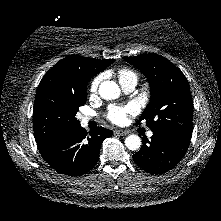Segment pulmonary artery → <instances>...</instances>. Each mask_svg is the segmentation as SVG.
<instances>
[{
	"label": "pulmonary artery",
	"mask_w": 221,
	"mask_h": 221,
	"mask_svg": "<svg viewBox=\"0 0 221 221\" xmlns=\"http://www.w3.org/2000/svg\"><path fill=\"white\" fill-rule=\"evenodd\" d=\"M120 84H121V87H122V89L125 93H130L135 89L137 81L128 80V81L122 82ZM91 119H92L91 117L85 116V117L82 118V122H83V124H87ZM147 135H148V137H152L153 132L149 131L147 133Z\"/></svg>",
	"instance_id": "pulmonary-artery-1"
}]
</instances>
